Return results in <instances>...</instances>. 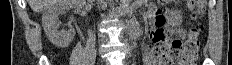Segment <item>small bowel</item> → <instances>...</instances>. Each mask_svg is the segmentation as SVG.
I'll use <instances>...</instances> for the list:
<instances>
[{"instance_id": "obj_1", "label": "small bowel", "mask_w": 232, "mask_h": 65, "mask_svg": "<svg viewBox=\"0 0 232 65\" xmlns=\"http://www.w3.org/2000/svg\"><path fill=\"white\" fill-rule=\"evenodd\" d=\"M146 26L149 28V36L151 38V44L148 47V54H151L153 51L152 44H157V36L169 37L173 31L177 33L180 37L185 35V31L181 28L173 30L167 25V18L164 13L157 10L155 7H150L148 13L145 17ZM155 53V47H154ZM160 65H170V62H160Z\"/></svg>"}]
</instances>
